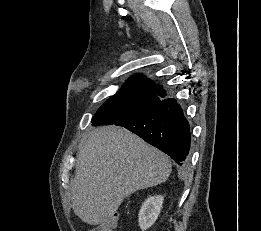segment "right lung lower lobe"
<instances>
[{"mask_svg": "<svg viewBox=\"0 0 261 231\" xmlns=\"http://www.w3.org/2000/svg\"><path fill=\"white\" fill-rule=\"evenodd\" d=\"M137 134L149 144L185 166L190 149V127L174 98L161 100L144 112L115 123Z\"/></svg>", "mask_w": 261, "mask_h": 231, "instance_id": "1", "label": "right lung lower lobe"}]
</instances>
